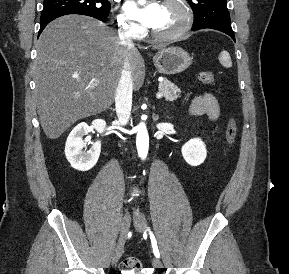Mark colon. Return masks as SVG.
<instances>
[{
    "instance_id": "obj_1",
    "label": "colon",
    "mask_w": 289,
    "mask_h": 274,
    "mask_svg": "<svg viewBox=\"0 0 289 274\" xmlns=\"http://www.w3.org/2000/svg\"><path fill=\"white\" fill-rule=\"evenodd\" d=\"M199 78L202 83L208 86H214L215 85V77L214 74L211 71H202L199 74ZM236 135H237V126L236 122L234 119H230L227 127H226V140L228 144L233 145L235 140H236ZM121 270L122 271H140L144 272L145 270L142 268L141 262L138 258L136 257H126L123 259L121 262Z\"/></svg>"
}]
</instances>
